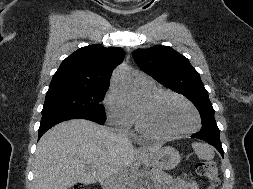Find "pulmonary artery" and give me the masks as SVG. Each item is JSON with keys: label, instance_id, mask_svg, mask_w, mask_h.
Masks as SVG:
<instances>
[{"label": "pulmonary artery", "instance_id": "1", "mask_svg": "<svg viewBox=\"0 0 253 189\" xmlns=\"http://www.w3.org/2000/svg\"><path fill=\"white\" fill-rule=\"evenodd\" d=\"M137 85L140 88H152L154 87V82L150 78L143 76L137 80Z\"/></svg>", "mask_w": 253, "mask_h": 189}]
</instances>
